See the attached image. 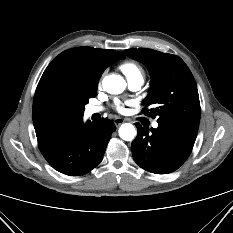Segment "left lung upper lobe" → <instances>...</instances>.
I'll use <instances>...</instances> for the list:
<instances>
[{
  "label": "left lung upper lobe",
  "mask_w": 233,
  "mask_h": 233,
  "mask_svg": "<svg viewBox=\"0 0 233 233\" xmlns=\"http://www.w3.org/2000/svg\"><path fill=\"white\" fill-rule=\"evenodd\" d=\"M124 53L144 63L152 77V86L143 104L146 107L153 104L156 108L143 109V113L157 116L158 123L199 124L201 111L197 85L180 57L146 48L127 49Z\"/></svg>",
  "instance_id": "1"
}]
</instances>
